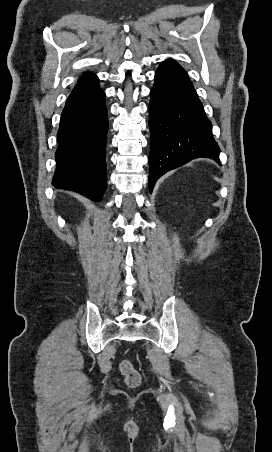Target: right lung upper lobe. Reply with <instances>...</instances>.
Masks as SVG:
<instances>
[{
    "label": "right lung upper lobe",
    "instance_id": "right-lung-upper-lobe-1",
    "mask_svg": "<svg viewBox=\"0 0 272 452\" xmlns=\"http://www.w3.org/2000/svg\"><path fill=\"white\" fill-rule=\"evenodd\" d=\"M95 77V75L91 72H85L82 77L78 80V82H85Z\"/></svg>",
    "mask_w": 272,
    "mask_h": 452
}]
</instances>
